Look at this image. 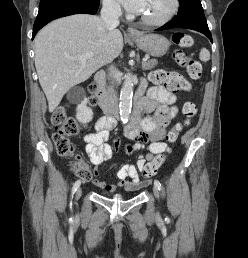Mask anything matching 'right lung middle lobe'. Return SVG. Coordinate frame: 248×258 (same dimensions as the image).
<instances>
[{"label": "right lung middle lobe", "mask_w": 248, "mask_h": 258, "mask_svg": "<svg viewBox=\"0 0 248 258\" xmlns=\"http://www.w3.org/2000/svg\"><path fill=\"white\" fill-rule=\"evenodd\" d=\"M58 1H63V0H41V2L39 4V8L43 7L45 5H48L50 3H53V2H58Z\"/></svg>", "instance_id": "right-lung-middle-lobe-1"}]
</instances>
